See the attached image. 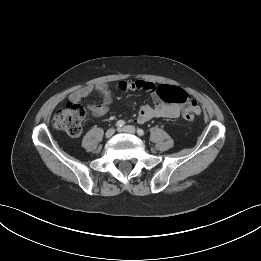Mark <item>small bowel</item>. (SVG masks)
<instances>
[{"label": "small bowel", "instance_id": "1", "mask_svg": "<svg viewBox=\"0 0 261 261\" xmlns=\"http://www.w3.org/2000/svg\"><path fill=\"white\" fill-rule=\"evenodd\" d=\"M118 87L124 92L144 90L153 96L154 103L152 105L145 104L140 107L135 119L138 124H144L153 118L175 119L183 116L187 109H191L195 114L200 113V107L194 100H191L189 107L162 102L157 93V86L150 81H121ZM94 91L102 95L103 102L101 104H90L88 108L94 116H102L107 113L109 105L112 103V94L107 83L101 82L95 85L84 86L71 93L69 101L70 103H79Z\"/></svg>", "mask_w": 261, "mask_h": 261}]
</instances>
